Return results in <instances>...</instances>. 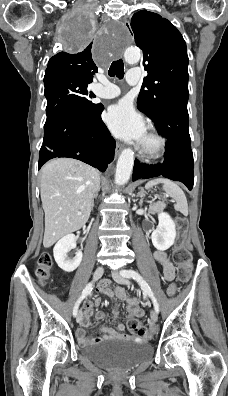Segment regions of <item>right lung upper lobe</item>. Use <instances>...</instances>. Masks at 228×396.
<instances>
[{"instance_id":"obj_1","label":"right lung upper lobe","mask_w":228,"mask_h":396,"mask_svg":"<svg viewBox=\"0 0 228 396\" xmlns=\"http://www.w3.org/2000/svg\"><path fill=\"white\" fill-rule=\"evenodd\" d=\"M91 49L92 42L78 53L60 52L56 54L48 62L45 78L74 76L92 82V76L97 71V67L92 59Z\"/></svg>"}]
</instances>
